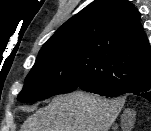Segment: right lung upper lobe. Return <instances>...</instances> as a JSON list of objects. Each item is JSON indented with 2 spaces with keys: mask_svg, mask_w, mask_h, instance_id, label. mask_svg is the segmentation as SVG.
Masks as SVG:
<instances>
[{
  "mask_svg": "<svg viewBox=\"0 0 151 131\" xmlns=\"http://www.w3.org/2000/svg\"><path fill=\"white\" fill-rule=\"evenodd\" d=\"M74 43L95 59L106 86L151 83V47L140 14L127 0H95L65 22L41 49Z\"/></svg>",
  "mask_w": 151,
  "mask_h": 131,
  "instance_id": "right-lung-upper-lobe-1",
  "label": "right lung upper lobe"
}]
</instances>
